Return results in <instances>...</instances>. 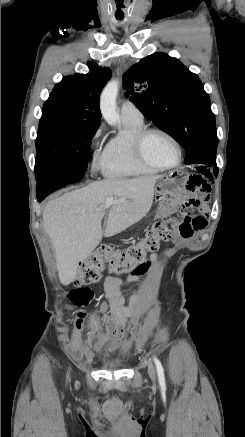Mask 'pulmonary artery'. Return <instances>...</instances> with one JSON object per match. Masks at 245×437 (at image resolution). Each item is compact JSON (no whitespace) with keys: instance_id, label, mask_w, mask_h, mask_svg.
Masks as SVG:
<instances>
[{"instance_id":"e3ab8cb5","label":"pulmonary artery","mask_w":245,"mask_h":437,"mask_svg":"<svg viewBox=\"0 0 245 437\" xmlns=\"http://www.w3.org/2000/svg\"><path fill=\"white\" fill-rule=\"evenodd\" d=\"M121 117L131 120L141 121L143 115L140 110L131 102L125 101L121 105Z\"/></svg>"}]
</instances>
